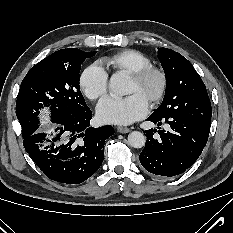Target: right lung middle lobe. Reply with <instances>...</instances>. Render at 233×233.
Segmentation results:
<instances>
[{
	"label": "right lung middle lobe",
	"instance_id": "right-lung-middle-lobe-1",
	"mask_svg": "<svg viewBox=\"0 0 233 233\" xmlns=\"http://www.w3.org/2000/svg\"><path fill=\"white\" fill-rule=\"evenodd\" d=\"M96 52L61 49L41 60L23 79L16 102V115L23 138L38 128V114L50 107L54 123L73 119L89 110L80 91L81 64Z\"/></svg>",
	"mask_w": 233,
	"mask_h": 233
}]
</instances>
